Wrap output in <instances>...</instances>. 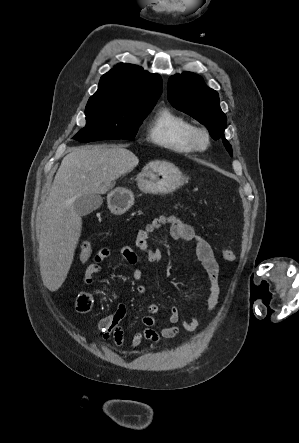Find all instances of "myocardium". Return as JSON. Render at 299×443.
<instances>
[{
    "instance_id": "obj_1",
    "label": "myocardium",
    "mask_w": 299,
    "mask_h": 443,
    "mask_svg": "<svg viewBox=\"0 0 299 443\" xmlns=\"http://www.w3.org/2000/svg\"><path fill=\"white\" fill-rule=\"evenodd\" d=\"M189 143L194 151L203 152L210 145V134L204 127H194L189 135Z\"/></svg>"
}]
</instances>
